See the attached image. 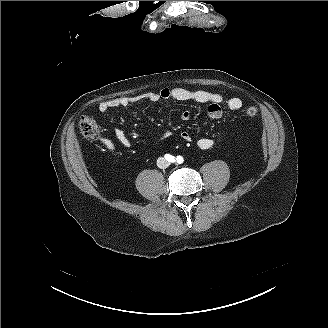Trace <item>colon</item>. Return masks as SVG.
<instances>
[{"label": "colon", "instance_id": "obj_1", "mask_svg": "<svg viewBox=\"0 0 328 328\" xmlns=\"http://www.w3.org/2000/svg\"><path fill=\"white\" fill-rule=\"evenodd\" d=\"M258 113V109L255 106H249L246 109V115L254 117ZM79 128L81 134L87 139H94L98 135V125L96 121L89 116H82L79 121Z\"/></svg>", "mask_w": 328, "mask_h": 328}]
</instances>
